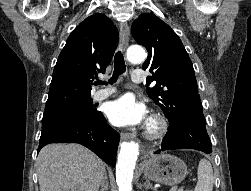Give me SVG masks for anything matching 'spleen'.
<instances>
[{
	"instance_id": "1",
	"label": "spleen",
	"mask_w": 251,
	"mask_h": 191,
	"mask_svg": "<svg viewBox=\"0 0 251 191\" xmlns=\"http://www.w3.org/2000/svg\"><path fill=\"white\" fill-rule=\"evenodd\" d=\"M214 175L209 159H200L198 165V181L194 191H212Z\"/></svg>"
}]
</instances>
